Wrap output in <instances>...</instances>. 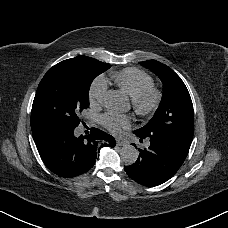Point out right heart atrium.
<instances>
[{
  "label": "right heart atrium",
  "instance_id": "d8ad5b80",
  "mask_svg": "<svg viewBox=\"0 0 228 228\" xmlns=\"http://www.w3.org/2000/svg\"><path fill=\"white\" fill-rule=\"evenodd\" d=\"M106 100V87L102 81H98L90 90L89 102L92 107L99 108Z\"/></svg>",
  "mask_w": 228,
  "mask_h": 228
}]
</instances>
